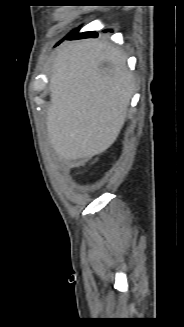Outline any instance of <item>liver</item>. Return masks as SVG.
Instances as JSON below:
<instances>
[{"instance_id": "6515ba94", "label": "liver", "mask_w": 184, "mask_h": 327, "mask_svg": "<svg viewBox=\"0 0 184 327\" xmlns=\"http://www.w3.org/2000/svg\"><path fill=\"white\" fill-rule=\"evenodd\" d=\"M134 92L126 56L107 42L65 45L54 58L46 127L65 160L86 161L107 150L122 129Z\"/></svg>"}]
</instances>
